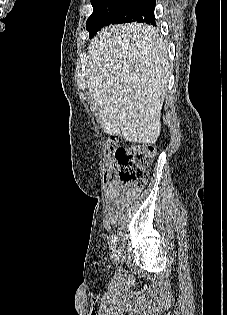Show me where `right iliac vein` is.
<instances>
[{"label": "right iliac vein", "instance_id": "63e3f726", "mask_svg": "<svg viewBox=\"0 0 227 315\" xmlns=\"http://www.w3.org/2000/svg\"><path fill=\"white\" fill-rule=\"evenodd\" d=\"M112 259L115 263H118L120 260V253L118 249L113 250Z\"/></svg>", "mask_w": 227, "mask_h": 315}]
</instances>
